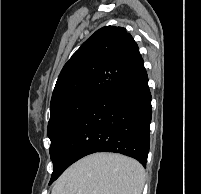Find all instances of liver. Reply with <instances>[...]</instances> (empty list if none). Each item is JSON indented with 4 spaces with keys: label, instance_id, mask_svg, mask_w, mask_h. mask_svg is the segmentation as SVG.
Masks as SVG:
<instances>
[{
    "label": "liver",
    "instance_id": "6515ba94",
    "mask_svg": "<svg viewBox=\"0 0 201 194\" xmlns=\"http://www.w3.org/2000/svg\"><path fill=\"white\" fill-rule=\"evenodd\" d=\"M142 165L114 153H95L71 165L55 182L51 194H141Z\"/></svg>",
    "mask_w": 201,
    "mask_h": 194
}]
</instances>
